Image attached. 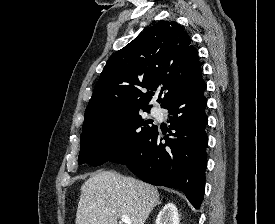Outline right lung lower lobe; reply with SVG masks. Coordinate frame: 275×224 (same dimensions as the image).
<instances>
[{"mask_svg":"<svg viewBox=\"0 0 275 224\" xmlns=\"http://www.w3.org/2000/svg\"><path fill=\"white\" fill-rule=\"evenodd\" d=\"M206 84L198 77L162 108L169 111V130L153 131L112 162L125 164L144 182L180 189L195 208L204 198L206 146ZM164 140L165 142H162Z\"/></svg>","mask_w":275,"mask_h":224,"instance_id":"98d812e1","label":"right lung lower lobe"}]
</instances>
